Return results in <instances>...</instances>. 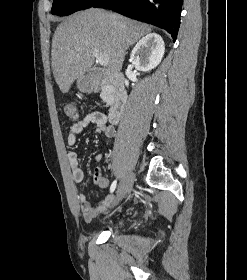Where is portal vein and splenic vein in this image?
Here are the masks:
<instances>
[{"instance_id": "18ae733b", "label": "portal vein and splenic vein", "mask_w": 247, "mask_h": 280, "mask_svg": "<svg viewBox=\"0 0 247 280\" xmlns=\"http://www.w3.org/2000/svg\"><path fill=\"white\" fill-rule=\"evenodd\" d=\"M92 54L100 65L107 66L109 64V57L107 55L99 53L97 50H92Z\"/></svg>"}]
</instances>
